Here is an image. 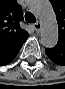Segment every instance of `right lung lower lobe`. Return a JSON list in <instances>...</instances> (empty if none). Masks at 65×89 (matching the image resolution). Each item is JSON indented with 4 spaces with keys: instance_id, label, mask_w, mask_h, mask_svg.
I'll list each match as a JSON object with an SVG mask.
<instances>
[{
    "instance_id": "98d812e1",
    "label": "right lung lower lobe",
    "mask_w": 65,
    "mask_h": 89,
    "mask_svg": "<svg viewBox=\"0 0 65 89\" xmlns=\"http://www.w3.org/2000/svg\"><path fill=\"white\" fill-rule=\"evenodd\" d=\"M22 45L10 53L2 54V52H0V65H6L10 63L16 57Z\"/></svg>"
}]
</instances>
